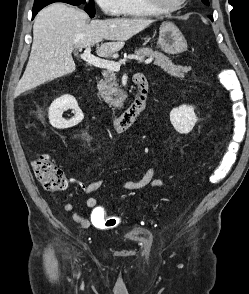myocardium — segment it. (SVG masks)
Returning a JSON list of instances; mask_svg holds the SVG:
<instances>
[{
  "label": "myocardium",
  "instance_id": "myocardium-1",
  "mask_svg": "<svg viewBox=\"0 0 249 294\" xmlns=\"http://www.w3.org/2000/svg\"><path fill=\"white\" fill-rule=\"evenodd\" d=\"M188 1L189 0H182V2L176 6L164 7V6H161L157 0H144L146 5L149 8H151L156 13V15H163V14L176 12L180 10L181 8H183L188 3Z\"/></svg>",
  "mask_w": 249,
  "mask_h": 294
}]
</instances>
